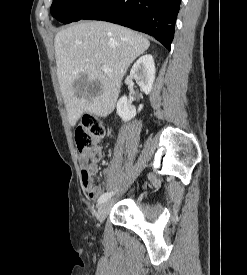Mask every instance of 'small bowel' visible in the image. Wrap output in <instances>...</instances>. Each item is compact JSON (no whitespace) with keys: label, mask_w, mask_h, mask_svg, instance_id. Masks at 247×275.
<instances>
[{"label":"small bowel","mask_w":247,"mask_h":275,"mask_svg":"<svg viewBox=\"0 0 247 275\" xmlns=\"http://www.w3.org/2000/svg\"><path fill=\"white\" fill-rule=\"evenodd\" d=\"M97 152L99 153V158L97 160H90L85 153L80 156L82 185L87 196L92 200L97 199L102 193L101 187L94 185L93 182V177L98 172V162L102 157V151L100 148L97 149ZM113 170L114 168L111 166L106 168L104 171L108 181H112L113 179Z\"/></svg>","instance_id":"small-bowel-1"}]
</instances>
